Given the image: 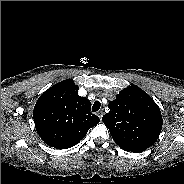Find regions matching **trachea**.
I'll use <instances>...</instances> for the list:
<instances>
[{"label": "trachea", "mask_w": 184, "mask_h": 184, "mask_svg": "<svg viewBox=\"0 0 184 184\" xmlns=\"http://www.w3.org/2000/svg\"><path fill=\"white\" fill-rule=\"evenodd\" d=\"M101 103L99 101H95L93 106H92V111L96 112L100 109Z\"/></svg>", "instance_id": "3493384b"}]
</instances>
